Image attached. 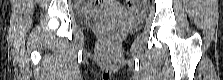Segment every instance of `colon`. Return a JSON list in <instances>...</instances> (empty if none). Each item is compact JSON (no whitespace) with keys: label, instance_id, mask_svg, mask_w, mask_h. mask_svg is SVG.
Wrapping results in <instances>:
<instances>
[{"label":"colon","instance_id":"5ec220e1","mask_svg":"<svg viewBox=\"0 0 223 80\" xmlns=\"http://www.w3.org/2000/svg\"><path fill=\"white\" fill-rule=\"evenodd\" d=\"M145 4V1H141V0H131L128 1V9L132 12V13H136L142 5Z\"/></svg>","mask_w":223,"mask_h":80}]
</instances>
